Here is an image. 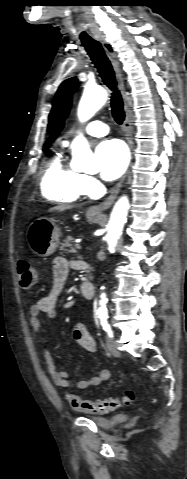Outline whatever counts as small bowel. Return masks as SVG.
<instances>
[{
  "label": "small bowel",
  "instance_id": "small-bowel-1",
  "mask_svg": "<svg viewBox=\"0 0 187 479\" xmlns=\"http://www.w3.org/2000/svg\"><path fill=\"white\" fill-rule=\"evenodd\" d=\"M71 268L84 269L85 265L80 261H69L65 257H56L53 260V282L51 290L31 306L29 323L32 340L41 349L46 358L47 371L55 387L58 389L75 388L83 390L107 381L110 378V372L106 369H102L97 375L88 379L71 382L73 375L70 372L56 368L49 351L43 345L40 338V315L43 314L47 318L57 317V301L66 286ZM73 337L88 353H94L96 351L95 341L89 334L87 327L83 322H77L74 325Z\"/></svg>",
  "mask_w": 187,
  "mask_h": 479
}]
</instances>
